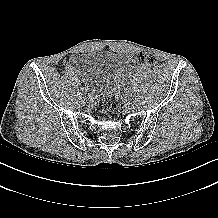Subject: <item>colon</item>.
<instances>
[{
	"mask_svg": "<svg viewBox=\"0 0 218 218\" xmlns=\"http://www.w3.org/2000/svg\"><path fill=\"white\" fill-rule=\"evenodd\" d=\"M130 60L135 64L143 66H153L157 62L156 57L153 54L147 52L134 53L133 55H131ZM111 105L112 103L109 96L99 98L95 104L96 110L103 116L108 115L111 109Z\"/></svg>",
	"mask_w": 218,
	"mask_h": 218,
	"instance_id": "1",
	"label": "colon"
}]
</instances>
